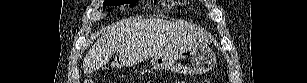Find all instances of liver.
<instances>
[{"label": "liver", "mask_w": 307, "mask_h": 83, "mask_svg": "<svg viewBox=\"0 0 307 83\" xmlns=\"http://www.w3.org/2000/svg\"><path fill=\"white\" fill-rule=\"evenodd\" d=\"M203 28L188 23L165 20L128 18L102 29L101 37L89 49L83 60L85 73L105 65L115 52L119 63L112 66L137 64L154 56H175L194 46L211 42Z\"/></svg>", "instance_id": "obj_1"}]
</instances>
